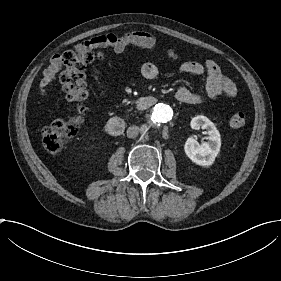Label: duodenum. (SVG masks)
Instances as JSON below:
<instances>
[{"mask_svg":"<svg viewBox=\"0 0 281 281\" xmlns=\"http://www.w3.org/2000/svg\"><path fill=\"white\" fill-rule=\"evenodd\" d=\"M157 99L153 96H143L136 100L135 107L137 110H146L156 104ZM126 123L121 117H113L105 124V131L112 136H118L123 133Z\"/></svg>","mask_w":281,"mask_h":281,"instance_id":"410a0bca","label":"duodenum"}]
</instances>
